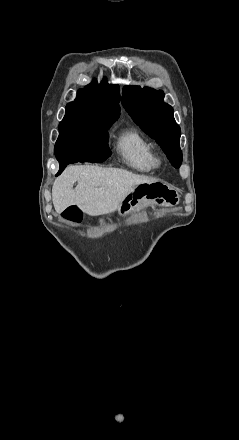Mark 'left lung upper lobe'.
Here are the masks:
<instances>
[{
  "mask_svg": "<svg viewBox=\"0 0 239 440\" xmlns=\"http://www.w3.org/2000/svg\"><path fill=\"white\" fill-rule=\"evenodd\" d=\"M164 93L153 88L125 86L122 104L134 121L161 146L175 168L182 163L179 146L180 127L173 117V108L164 103Z\"/></svg>",
  "mask_w": 239,
  "mask_h": 440,
  "instance_id": "obj_1",
  "label": "left lung upper lobe"
}]
</instances>
